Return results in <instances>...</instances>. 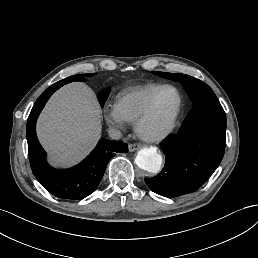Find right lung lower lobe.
I'll return each instance as SVG.
<instances>
[{
  "label": "right lung lower lobe",
  "mask_w": 258,
  "mask_h": 258,
  "mask_svg": "<svg viewBox=\"0 0 258 258\" xmlns=\"http://www.w3.org/2000/svg\"><path fill=\"white\" fill-rule=\"evenodd\" d=\"M84 76H70L47 88L35 102L27 121V141L30 165L40 184L58 198L81 200L95 191L105 172L108 161L115 153H126L122 141L101 139L95 149L77 166L54 169L46 162V153L36 136V121L50 96L63 85L85 81Z\"/></svg>",
  "instance_id": "1"
}]
</instances>
